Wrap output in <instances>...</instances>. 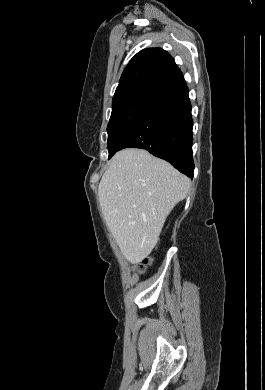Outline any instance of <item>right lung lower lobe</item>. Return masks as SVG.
<instances>
[{
  "label": "right lung lower lobe",
  "instance_id": "1",
  "mask_svg": "<svg viewBox=\"0 0 265 390\" xmlns=\"http://www.w3.org/2000/svg\"><path fill=\"white\" fill-rule=\"evenodd\" d=\"M192 128L191 103L183 80L133 120L119 138L115 153L129 147L146 149L193 178Z\"/></svg>",
  "mask_w": 265,
  "mask_h": 390
}]
</instances>
